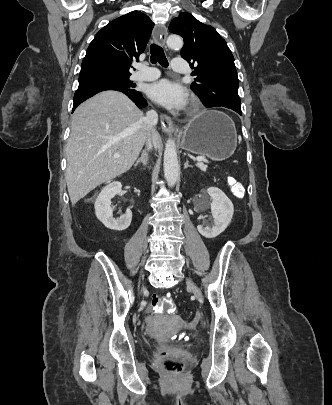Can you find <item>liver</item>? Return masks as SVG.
Here are the masks:
<instances>
[{"instance_id":"obj_1","label":"liver","mask_w":332,"mask_h":405,"mask_svg":"<svg viewBox=\"0 0 332 405\" xmlns=\"http://www.w3.org/2000/svg\"><path fill=\"white\" fill-rule=\"evenodd\" d=\"M144 118L143 112L117 91L101 92L75 110L65 173L72 204L133 166L148 138ZM152 140L161 147L157 131Z\"/></svg>"}]
</instances>
